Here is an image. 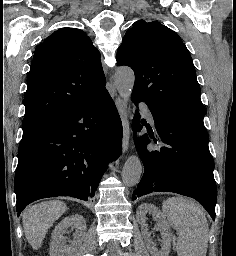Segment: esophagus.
<instances>
[{"instance_id": "34e87169", "label": "esophagus", "mask_w": 236, "mask_h": 256, "mask_svg": "<svg viewBox=\"0 0 236 256\" xmlns=\"http://www.w3.org/2000/svg\"><path fill=\"white\" fill-rule=\"evenodd\" d=\"M115 104L119 112V115L122 121V126H123L122 151L123 153H126L128 149L129 140H130V128H129V121L127 118V112L125 109L124 101L120 97H116Z\"/></svg>"}]
</instances>
